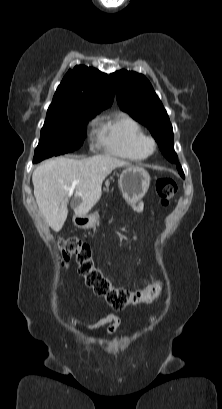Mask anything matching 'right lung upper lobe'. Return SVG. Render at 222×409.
Returning a JSON list of instances; mask_svg holds the SVG:
<instances>
[{
  "mask_svg": "<svg viewBox=\"0 0 222 409\" xmlns=\"http://www.w3.org/2000/svg\"><path fill=\"white\" fill-rule=\"evenodd\" d=\"M113 99L114 92L108 75L79 65L64 76L48 111L78 107L103 110L112 104Z\"/></svg>",
  "mask_w": 222,
  "mask_h": 409,
  "instance_id": "obj_1",
  "label": "right lung upper lobe"
}]
</instances>
